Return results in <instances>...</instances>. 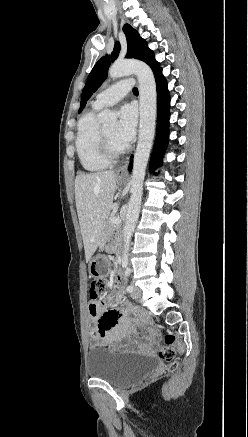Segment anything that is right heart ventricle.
I'll use <instances>...</instances> for the list:
<instances>
[{
	"instance_id": "right-heart-ventricle-1",
	"label": "right heart ventricle",
	"mask_w": 248,
	"mask_h": 437,
	"mask_svg": "<svg viewBox=\"0 0 248 437\" xmlns=\"http://www.w3.org/2000/svg\"><path fill=\"white\" fill-rule=\"evenodd\" d=\"M100 108L92 106L79 120L75 140L79 162L84 170L98 172L108 167L107 160L100 150V125L97 112Z\"/></svg>"
}]
</instances>
